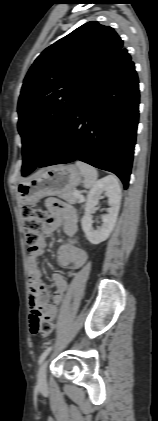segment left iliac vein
I'll list each match as a JSON object with an SVG mask.
<instances>
[{
  "label": "left iliac vein",
  "mask_w": 158,
  "mask_h": 421,
  "mask_svg": "<svg viewBox=\"0 0 158 421\" xmlns=\"http://www.w3.org/2000/svg\"><path fill=\"white\" fill-rule=\"evenodd\" d=\"M46 368H47V361H44L39 370H38V375H37V379H38V384L40 386H45L46 385Z\"/></svg>",
  "instance_id": "left-iliac-vein-1"
}]
</instances>
